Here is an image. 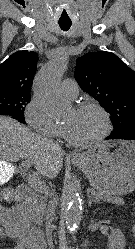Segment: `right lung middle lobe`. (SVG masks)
I'll list each match as a JSON object with an SVG mask.
<instances>
[{
  "label": "right lung middle lobe",
  "mask_w": 135,
  "mask_h": 249,
  "mask_svg": "<svg viewBox=\"0 0 135 249\" xmlns=\"http://www.w3.org/2000/svg\"><path fill=\"white\" fill-rule=\"evenodd\" d=\"M30 102L29 93L0 92V113L24 120V110Z\"/></svg>",
  "instance_id": "right-lung-middle-lobe-1"
}]
</instances>
